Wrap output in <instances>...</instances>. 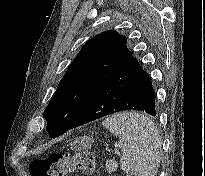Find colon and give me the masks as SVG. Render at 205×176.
<instances>
[{
	"mask_svg": "<svg viewBox=\"0 0 205 176\" xmlns=\"http://www.w3.org/2000/svg\"><path fill=\"white\" fill-rule=\"evenodd\" d=\"M76 169L87 175L95 172L94 158L89 151L53 153L29 164L30 176H66Z\"/></svg>",
	"mask_w": 205,
	"mask_h": 176,
	"instance_id": "obj_1",
	"label": "colon"
}]
</instances>
